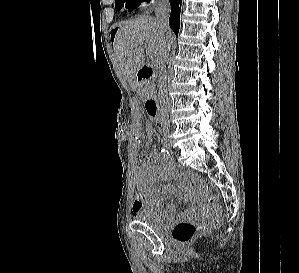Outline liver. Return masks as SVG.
Masks as SVG:
<instances>
[{
	"instance_id": "1",
	"label": "liver",
	"mask_w": 299,
	"mask_h": 273,
	"mask_svg": "<svg viewBox=\"0 0 299 273\" xmlns=\"http://www.w3.org/2000/svg\"><path fill=\"white\" fill-rule=\"evenodd\" d=\"M173 40L171 30L163 33L156 18L141 16L119 25L114 39V53L118 66L129 85L136 89V73L145 65L146 54L160 61L165 47Z\"/></svg>"
}]
</instances>
